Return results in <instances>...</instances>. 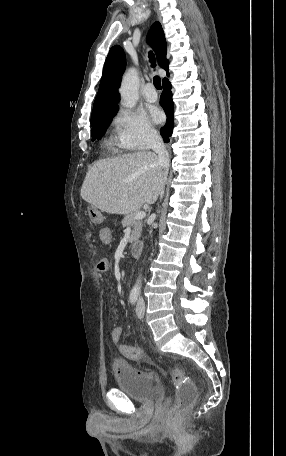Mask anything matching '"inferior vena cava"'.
Returning a JSON list of instances; mask_svg holds the SVG:
<instances>
[{"label":"inferior vena cava","mask_w":286,"mask_h":456,"mask_svg":"<svg viewBox=\"0 0 286 456\" xmlns=\"http://www.w3.org/2000/svg\"><path fill=\"white\" fill-rule=\"evenodd\" d=\"M150 145L152 150L158 155L159 158V164L167 169V163H168V155L167 151L165 149L164 143L161 139V137L157 133H151L150 135ZM164 185L165 182L162 183L161 188H160V197H163L164 194Z\"/></svg>","instance_id":"inferior-vena-cava-1"}]
</instances>
